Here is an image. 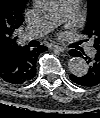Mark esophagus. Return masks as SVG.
Listing matches in <instances>:
<instances>
[{
    "label": "esophagus",
    "instance_id": "1",
    "mask_svg": "<svg viewBox=\"0 0 100 118\" xmlns=\"http://www.w3.org/2000/svg\"><path fill=\"white\" fill-rule=\"evenodd\" d=\"M51 48L53 50H56V51H59V52H64L65 51V48H63L61 46H58V45H52Z\"/></svg>",
    "mask_w": 100,
    "mask_h": 118
}]
</instances>
